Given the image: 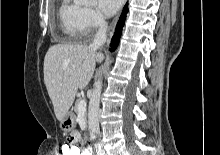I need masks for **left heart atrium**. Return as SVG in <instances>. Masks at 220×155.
<instances>
[{
  "mask_svg": "<svg viewBox=\"0 0 220 155\" xmlns=\"http://www.w3.org/2000/svg\"><path fill=\"white\" fill-rule=\"evenodd\" d=\"M123 0H98L97 5L99 10L107 15H114L121 7Z\"/></svg>",
  "mask_w": 220,
  "mask_h": 155,
  "instance_id": "39dd6f15",
  "label": "left heart atrium"
}]
</instances>
